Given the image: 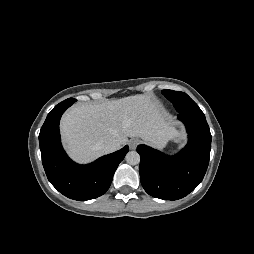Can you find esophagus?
Wrapping results in <instances>:
<instances>
[{"label": "esophagus", "instance_id": "esophagus-1", "mask_svg": "<svg viewBox=\"0 0 254 254\" xmlns=\"http://www.w3.org/2000/svg\"><path fill=\"white\" fill-rule=\"evenodd\" d=\"M139 144V140L138 139H131L129 141V147L131 149H136L137 145Z\"/></svg>", "mask_w": 254, "mask_h": 254}]
</instances>
